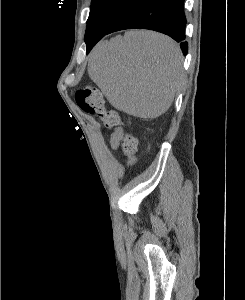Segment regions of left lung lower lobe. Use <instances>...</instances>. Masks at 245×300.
Returning a JSON list of instances; mask_svg holds the SVG:
<instances>
[{
    "mask_svg": "<svg viewBox=\"0 0 245 300\" xmlns=\"http://www.w3.org/2000/svg\"><path fill=\"white\" fill-rule=\"evenodd\" d=\"M184 0H138L122 13L105 33L92 32L86 40V53L105 35L125 29H149L164 33L177 42L184 55L188 44L184 42L186 19Z\"/></svg>",
    "mask_w": 245,
    "mask_h": 300,
    "instance_id": "obj_1",
    "label": "left lung lower lobe"
}]
</instances>
